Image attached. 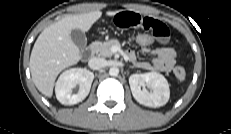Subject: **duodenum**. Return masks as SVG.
I'll return each instance as SVG.
<instances>
[{
  "instance_id": "410a0bca",
  "label": "duodenum",
  "mask_w": 231,
  "mask_h": 134,
  "mask_svg": "<svg viewBox=\"0 0 231 134\" xmlns=\"http://www.w3.org/2000/svg\"><path fill=\"white\" fill-rule=\"evenodd\" d=\"M93 49H94V44H92V45L89 47V49H88L85 53H83L82 57H83L84 59H86V58L88 57V55H89L90 53H92Z\"/></svg>"
}]
</instances>
